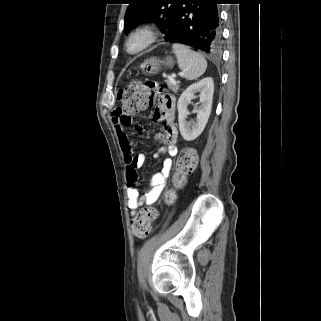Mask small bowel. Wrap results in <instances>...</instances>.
I'll use <instances>...</instances> for the list:
<instances>
[{
	"label": "small bowel",
	"mask_w": 321,
	"mask_h": 321,
	"mask_svg": "<svg viewBox=\"0 0 321 321\" xmlns=\"http://www.w3.org/2000/svg\"><path fill=\"white\" fill-rule=\"evenodd\" d=\"M160 87L161 84L159 82L143 83L140 85V88L143 90H151V96L159 97L152 120L162 125L161 131L154 137L161 146L155 151L154 157L156 159H163L161 171L151 177L149 189L143 196L140 195L138 190V169L144 164L145 155L134 152L135 144L126 131L133 124L132 118L130 115L123 114L119 109H115L112 114V122L126 163L128 207L132 212H135L143 205H151L158 200L167 185V180L173 166L172 157L177 154L175 98Z\"/></svg>",
	"instance_id": "c3829d8e"
}]
</instances>
